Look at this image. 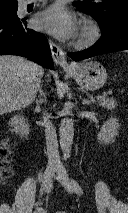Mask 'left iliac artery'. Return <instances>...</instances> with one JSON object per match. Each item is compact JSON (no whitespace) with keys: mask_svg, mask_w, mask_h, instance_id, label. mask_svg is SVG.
Masks as SVG:
<instances>
[{"mask_svg":"<svg viewBox=\"0 0 128 213\" xmlns=\"http://www.w3.org/2000/svg\"><path fill=\"white\" fill-rule=\"evenodd\" d=\"M71 182H72L74 191H75L77 194H82V193H83V190H82L81 186L79 185V183H78L76 180H74V179H72Z\"/></svg>","mask_w":128,"mask_h":213,"instance_id":"1","label":"left iliac artery"}]
</instances>
